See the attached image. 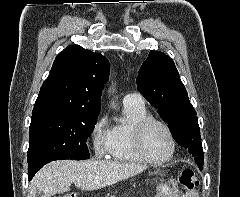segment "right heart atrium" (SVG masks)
Listing matches in <instances>:
<instances>
[{
  "mask_svg": "<svg viewBox=\"0 0 240 197\" xmlns=\"http://www.w3.org/2000/svg\"><path fill=\"white\" fill-rule=\"evenodd\" d=\"M91 142L97 156H103L108 151L109 127L106 115L100 116L91 129Z\"/></svg>",
  "mask_w": 240,
  "mask_h": 197,
  "instance_id": "obj_1",
  "label": "right heart atrium"
}]
</instances>
